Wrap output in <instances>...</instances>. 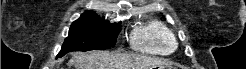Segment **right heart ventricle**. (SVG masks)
I'll list each match as a JSON object with an SVG mask.
<instances>
[{
    "instance_id": "obj_1",
    "label": "right heart ventricle",
    "mask_w": 246,
    "mask_h": 69,
    "mask_svg": "<svg viewBox=\"0 0 246 69\" xmlns=\"http://www.w3.org/2000/svg\"><path fill=\"white\" fill-rule=\"evenodd\" d=\"M130 40L134 50L156 55H166L172 52L176 45L173 32L158 20H151L136 27Z\"/></svg>"
}]
</instances>
